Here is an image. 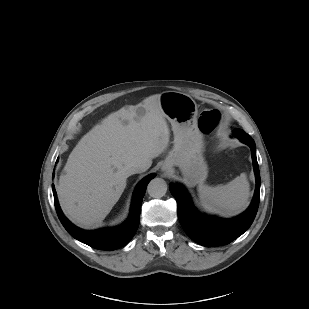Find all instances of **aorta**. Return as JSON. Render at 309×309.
I'll use <instances>...</instances> for the list:
<instances>
[{"label":"aorta","mask_w":309,"mask_h":309,"mask_svg":"<svg viewBox=\"0 0 309 309\" xmlns=\"http://www.w3.org/2000/svg\"><path fill=\"white\" fill-rule=\"evenodd\" d=\"M147 192L153 198H161L167 192V184L161 178H154L149 182Z\"/></svg>","instance_id":"762f6f07"}]
</instances>
